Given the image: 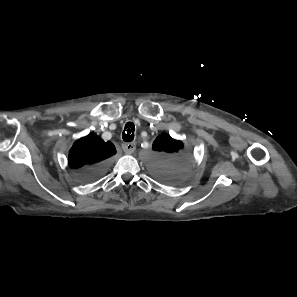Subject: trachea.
Segmentation results:
<instances>
[{
  "label": "trachea",
  "mask_w": 297,
  "mask_h": 297,
  "mask_svg": "<svg viewBox=\"0 0 297 297\" xmlns=\"http://www.w3.org/2000/svg\"><path fill=\"white\" fill-rule=\"evenodd\" d=\"M134 131H135V127L134 124L132 122H127L125 125V129L122 133V139L125 142H131L134 139Z\"/></svg>",
  "instance_id": "trachea-1"
}]
</instances>
